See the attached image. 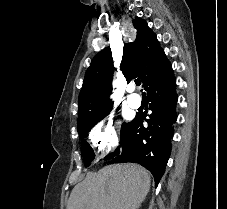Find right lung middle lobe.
I'll return each mask as SVG.
<instances>
[{
	"mask_svg": "<svg viewBox=\"0 0 227 209\" xmlns=\"http://www.w3.org/2000/svg\"><path fill=\"white\" fill-rule=\"evenodd\" d=\"M112 104L113 103H110L109 100H107L105 101L106 107L100 114L93 116H83L78 118L77 130L80 138H86L88 136V132L91 130V128L110 112ZM128 124L129 123L122 124L121 136L123 135L124 130L126 129ZM81 149L84 157L85 166L87 167L91 164V161L94 159L95 154L93 152V149L85 140L82 141Z\"/></svg>",
	"mask_w": 227,
	"mask_h": 209,
	"instance_id": "1",
	"label": "right lung middle lobe"
}]
</instances>
